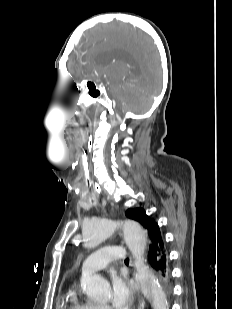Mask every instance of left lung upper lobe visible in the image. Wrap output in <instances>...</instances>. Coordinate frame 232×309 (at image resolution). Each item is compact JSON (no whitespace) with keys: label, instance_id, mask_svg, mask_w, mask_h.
<instances>
[{"label":"left lung upper lobe","instance_id":"left-lung-upper-lobe-1","mask_svg":"<svg viewBox=\"0 0 232 309\" xmlns=\"http://www.w3.org/2000/svg\"><path fill=\"white\" fill-rule=\"evenodd\" d=\"M126 216L138 221L148 231V233L151 232L153 225L156 224L154 219L150 218V216H148L142 208L128 209L126 211Z\"/></svg>","mask_w":232,"mask_h":309}]
</instances>
